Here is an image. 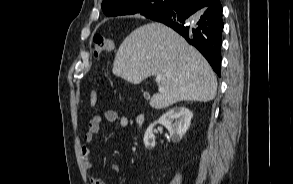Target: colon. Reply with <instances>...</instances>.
<instances>
[{
	"instance_id": "1",
	"label": "colon",
	"mask_w": 293,
	"mask_h": 184,
	"mask_svg": "<svg viewBox=\"0 0 293 184\" xmlns=\"http://www.w3.org/2000/svg\"><path fill=\"white\" fill-rule=\"evenodd\" d=\"M115 50V42L113 39L95 35L93 38V53L96 58H99L104 52H113ZM98 93L96 89H93L90 94V104L94 106L97 102Z\"/></svg>"
}]
</instances>
